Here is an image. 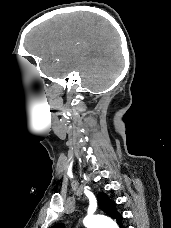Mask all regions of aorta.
Wrapping results in <instances>:
<instances>
[{
    "mask_svg": "<svg viewBox=\"0 0 171 228\" xmlns=\"http://www.w3.org/2000/svg\"><path fill=\"white\" fill-rule=\"evenodd\" d=\"M83 223L86 228H118L112 219L103 215H88Z\"/></svg>",
    "mask_w": 171,
    "mask_h": 228,
    "instance_id": "obj_1",
    "label": "aorta"
}]
</instances>
